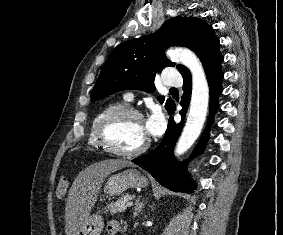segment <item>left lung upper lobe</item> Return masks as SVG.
I'll list each match as a JSON object with an SVG mask.
<instances>
[{
    "label": "left lung upper lobe",
    "instance_id": "left-lung-upper-lobe-1",
    "mask_svg": "<svg viewBox=\"0 0 283 235\" xmlns=\"http://www.w3.org/2000/svg\"><path fill=\"white\" fill-rule=\"evenodd\" d=\"M169 46H184L194 51L205 71L224 59L211 26L199 18L176 16L167 20L156 33L128 40L115 48L92 90L91 101L126 89L154 92L155 74L165 67L175 66L165 56L164 51ZM177 68L183 78L191 76L185 66L177 65ZM157 99L165 102L164 97ZM174 105L169 98L165 108L170 112Z\"/></svg>",
    "mask_w": 283,
    "mask_h": 235
}]
</instances>
